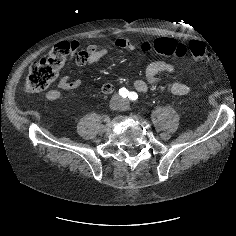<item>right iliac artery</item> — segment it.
<instances>
[{
	"mask_svg": "<svg viewBox=\"0 0 236 236\" xmlns=\"http://www.w3.org/2000/svg\"><path fill=\"white\" fill-rule=\"evenodd\" d=\"M119 95L123 98H126L129 95V91L123 87L119 90Z\"/></svg>",
	"mask_w": 236,
	"mask_h": 236,
	"instance_id": "1",
	"label": "right iliac artery"
}]
</instances>
